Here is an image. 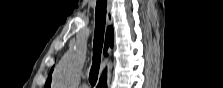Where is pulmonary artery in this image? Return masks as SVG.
<instances>
[{
	"label": "pulmonary artery",
	"mask_w": 223,
	"mask_h": 88,
	"mask_svg": "<svg viewBox=\"0 0 223 88\" xmlns=\"http://www.w3.org/2000/svg\"><path fill=\"white\" fill-rule=\"evenodd\" d=\"M81 88H88V86L87 85H82Z\"/></svg>",
	"instance_id": "pulmonary-artery-1"
}]
</instances>
